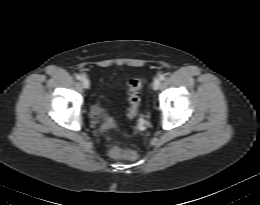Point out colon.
<instances>
[{
  "instance_id": "1",
  "label": "colon",
  "mask_w": 260,
  "mask_h": 205,
  "mask_svg": "<svg viewBox=\"0 0 260 205\" xmlns=\"http://www.w3.org/2000/svg\"><path fill=\"white\" fill-rule=\"evenodd\" d=\"M143 85V80L141 78H133L128 83V117L134 119L139 113L140 106V90ZM116 135L111 133L109 139H114ZM110 155L116 158H126L129 160H136L138 158V153L134 150H125L114 145L110 149Z\"/></svg>"
}]
</instances>
